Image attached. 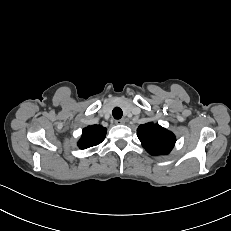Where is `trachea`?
I'll return each mask as SVG.
<instances>
[{
  "label": "trachea",
  "mask_w": 231,
  "mask_h": 231,
  "mask_svg": "<svg viewBox=\"0 0 231 231\" xmlns=\"http://www.w3.org/2000/svg\"><path fill=\"white\" fill-rule=\"evenodd\" d=\"M112 115L115 119H120L123 115L121 108L115 107L112 111Z\"/></svg>",
  "instance_id": "1"
}]
</instances>
